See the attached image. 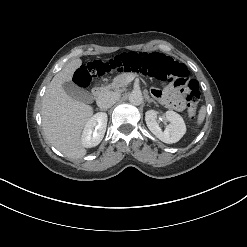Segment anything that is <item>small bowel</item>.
<instances>
[{
  "instance_id": "c3829d8e",
  "label": "small bowel",
  "mask_w": 247,
  "mask_h": 247,
  "mask_svg": "<svg viewBox=\"0 0 247 247\" xmlns=\"http://www.w3.org/2000/svg\"><path fill=\"white\" fill-rule=\"evenodd\" d=\"M154 94L165 106L176 110L184 109V101L176 85L169 86L164 91L154 90Z\"/></svg>"
}]
</instances>
